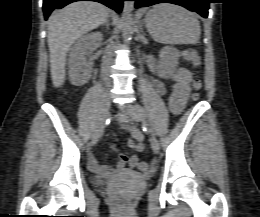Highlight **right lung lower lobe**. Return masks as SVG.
Returning a JSON list of instances; mask_svg holds the SVG:
<instances>
[{
    "label": "right lung lower lobe",
    "mask_w": 260,
    "mask_h": 217,
    "mask_svg": "<svg viewBox=\"0 0 260 217\" xmlns=\"http://www.w3.org/2000/svg\"><path fill=\"white\" fill-rule=\"evenodd\" d=\"M75 1H83V0H43V11H44L45 19L48 18V16L54 9H60L65 5ZM87 1L100 2L116 10L117 13H120L122 10L123 1L125 0H87Z\"/></svg>",
    "instance_id": "obj_1"
}]
</instances>
